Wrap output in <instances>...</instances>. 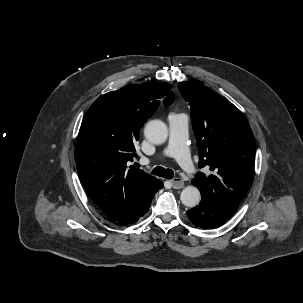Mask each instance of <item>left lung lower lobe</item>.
Here are the masks:
<instances>
[{"instance_id":"left-lung-lower-lobe-1","label":"left lung lower lobe","mask_w":303,"mask_h":303,"mask_svg":"<svg viewBox=\"0 0 303 303\" xmlns=\"http://www.w3.org/2000/svg\"><path fill=\"white\" fill-rule=\"evenodd\" d=\"M235 211L220 199L202 195L199 206L187 211V215L196 226L210 229L223 224Z\"/></svg>"}]
</instances>
